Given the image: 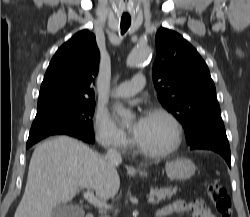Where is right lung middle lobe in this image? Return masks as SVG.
<instances>
[{"label": "right lung middle lobe", "mask_w": 250, "mask_h": 217, "mask_svg": "<svg viewBox=\"0 0 250 217\" xmlns=\"http://www.w3.org/2000/svg\"><path fill=\"white\" fill-rule=\"evenodd\" d=\"M94 101H79L37 111L26 148L51 135H69L94 143Z\"/></svg>", "instance_id": "obj_1"}]
</instances>
